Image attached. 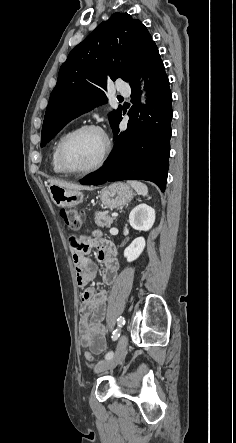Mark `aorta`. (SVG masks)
Segmentation results:
<instances>
[{
    "label": "aorta",
    "instance_id": "obj_1",
    "mask_svg": "<svg viewBox=\"0 0 236 443\" xmlns=\"http://www.w3.org/2000/svg\"><path fill=\"white\" fill-rule=\"evenodd\" d=\"M142 103H145V98H144V96H143V98H142Z\"/></svg>",
    "mask_w": 236,
    "mask_h": 443
}]
</instances>
